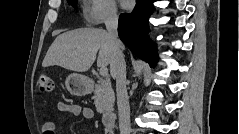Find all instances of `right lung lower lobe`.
<instances>
[{"label":"right lung lower lobe","mask_w":239,"mask_h":134,"mask_svg":"<svg viewBox=\"0 0 239 134\" xmlns=\"http://www.w3.org/2000/svg\"><path fill=\"white\" fill-rule=\"evenodd\" d=\"M134 10L119 17L118 35L127 47L140 59L154 66L157 61L155 45L148 36V18L155 0H136Z\"/></svg>","instance_id":"98d812e1"}]
</instances>
